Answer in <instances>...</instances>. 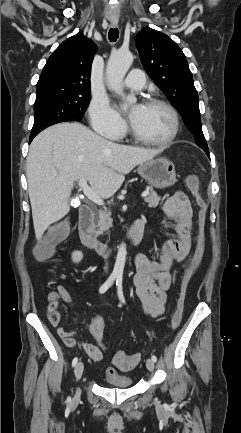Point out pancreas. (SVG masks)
I'll list each match as a JSON object with an SVG mask.
<instances>
[{
  "label": "pancreas",
  "mask_w": 241,
  "mask_h": 433,
  "mask_svg": "<svg viewBox=\"0 0 241 433\" xmlns=\"http://www.w3.org/2000/svg\"><path fill=\"white\" fill-rule=\"evenodd\" d=\"M161 197L156 192L151 191L150 194L144 198V201L150 208H156L160 203ZM111 212L109 210H100L95 217V228L98 234H102L112 226Z\"/></svg>",
  "instance_id": "1"
}]
</instances>
